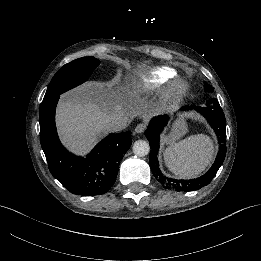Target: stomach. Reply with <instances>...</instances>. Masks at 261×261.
Here are the masks:
<instances>
[{
	"mask_svg": "<svg viewBox=\"0 0 261 261\" xmlns=\"http://www.w3.org/2000/svg\"><path fill=\"white\" fill-rule=\"evenodd\" d=\"M187 132V123L183 119V117H180L173 122L170 133L167 136L163 137V143L173 145L175 141L179 140Z\"/></svg>",
	"mask_w": 261,
	"mask_h": 261,
	"instance_id": "1",
	"label": "stomach"
}]
</instances>
